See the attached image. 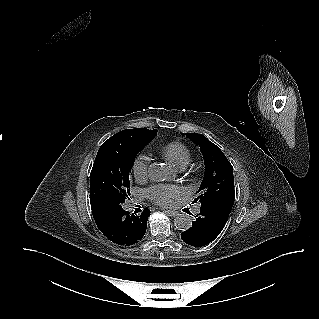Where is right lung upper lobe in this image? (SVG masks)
<instances>
[{"mask_svg": "<svg viewBox=\"0 0 319 319\" xmlns=\"http://www.w3.org/2000/svg\"><path fill=\"white\" fill-rule=\"evenodd\" d=\"M155 130L156 129L148 130L145 128H135V129H126V130L120 131V133L133 141L148 143L152 139L155 133Z\"/></svg>", "mask_w": 319, "mask_h": 319, "instance_id": "1", "label": "right lung upper lobe"}]
</instances>
